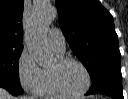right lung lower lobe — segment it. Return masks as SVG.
Segmentation results:
<instances>
[{
  "label": "right lung lower lobe",
  "instance_id": "1",
  "mask_svg": "<svg viewBox=\"0 0 128 99\" xmlns=\"http://www.w3.org/2000/svg\"><path fill=\"white\" fill-rule=\"evenodd\" d=\"M0 87L6 89L9 93L13 95H19L23 93L21 86L14 85L4 80H0Z\"/></svg>",
  "mask_w": 128,
  "mask_h": 99
}]
</instances>
